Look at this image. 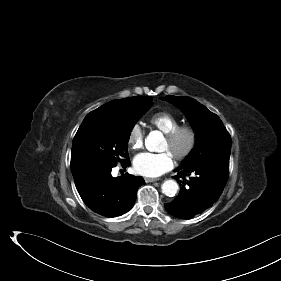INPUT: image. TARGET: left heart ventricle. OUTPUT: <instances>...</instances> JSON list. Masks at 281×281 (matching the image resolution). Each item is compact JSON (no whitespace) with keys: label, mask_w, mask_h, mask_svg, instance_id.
<instances>
[{"label":"left heart ventricle","mask_w":281,"mask_h":281,"mask_svg":"<svg viewBox=\"0 0 281 281\" xmlns=\"http://www.w3.org/2000/svg\"><path fill=\"white\" fill-rule=\"evenodd\" d=\"M186 143H187V139L184 137V138L180 139V141L177 143V145L175 147H171V145L165 139L163 149L169 150L172 153L173 150H175V149H182L186 145Z\"/></svg>","instance_id":"b2bd125f"}]
</instances>
